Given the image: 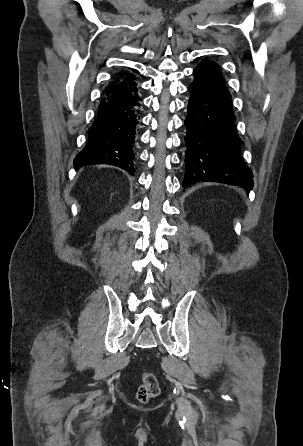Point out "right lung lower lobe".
<instances>
[{"instance_id":"1","label":"right lung lower lobe","mask_w":303,"mask_h":446,"mask_svg":"<svg viewBox=\"0 0 303 446\" xmlns=\"http://www.w3.org/2000/svg\"><path fill=\"white\" fill-rule=\"evenodd\" d=\"M141 98L133 76L116 80L104 94L97 117L89 129L85 148L75 157L74 166L109 164L130 174L135 172L133 159L136 125Z\"/></svg>"}]
</instances>
